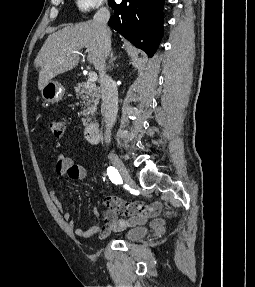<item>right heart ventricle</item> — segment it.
<instances>
[{
  "mask_svg": "<svg viewBox=\"0 0 255 287\" xmlns=\"http://www.w3.org/2000/svg\"><path fill=\"white\" fill-rule=\"evenodd\" d=\"M91 33V32H89ZM81 39H84V38H81ZM87 39H92V38H87ZM126 39H129V38H126ZM121 48H136V47H121Z\"/></svg>",
  "mask_w": 255,
  "mask_h": 287,
  "instance_id": "e07e8e85",
  "label": "right heart ventricle"
}]
</instances>
